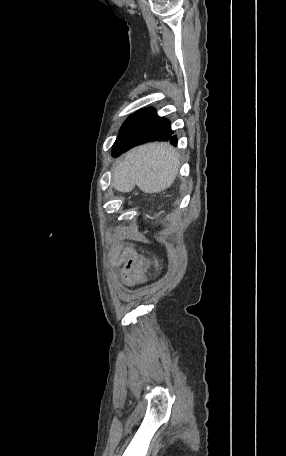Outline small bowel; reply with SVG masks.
Here are the masks:
<instances>
[{"instance_id": "small-bowel-1", "label": "small bowel", "mask_w": 286, "mask_h": 456, "mask_svg": "<svg viewBox=\"0 0 286 456\" xmlns=\"http://www.w3.org/2000/svg\"><path fill=\"white\" fill-rule=\"evenodd\" d=\"M137 253L132 248H122L119 244L112 247L110 251V262L113 266L120 267L122 282L128 286H135L138 281L133 276V268Z\"/></svg>"}]
</instances>
